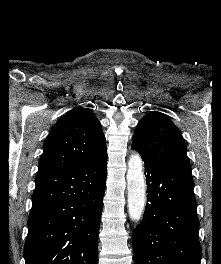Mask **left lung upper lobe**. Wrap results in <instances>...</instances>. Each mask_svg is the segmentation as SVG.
<instances>
[{
    "label": "left lung upper lobe",
    "mask_w": 221,
    "mask_h": 264,
    "mask_svg": "<svg viewBox=\"0 0 221 264\" xmlns=\"http://www.w3.org/2000/svg\"><path fill=\"white\" fill-rule=\"evenodd\" d=\"M132 142V147L147 159L191 171L179 129L161 112H151L139 121Z\"/></svg>",
    "instance_id": "1"
}]
</instances>
